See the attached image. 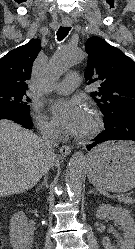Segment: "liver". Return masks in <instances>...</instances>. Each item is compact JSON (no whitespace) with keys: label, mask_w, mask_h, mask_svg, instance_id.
Listing matches in <instances>:
<instances>
[{"label":"liver","mask_w":135,"mask_h":249,"mask_svg":"<svg viewBox=\"0 0 135 249\" xmlns=\"http://www.w3.org/2000/svg\"><path fill=\"white\" fill-rule=\"evenodd\" d=\"M58 164L33 132L9 120H0V198L34 187L48 171L50 162Z\"/></svg>","instance_id":"6515ba94"}]
</instances>
